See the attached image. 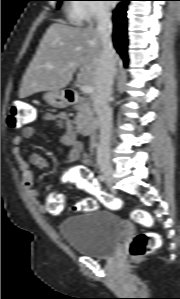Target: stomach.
<instances>
[{
	"label": "stomach",
	"instance_id": "0dacf381",
	"mask_svg": "<svg viewBox=\"0 0 180 299\" xmlns=\"http://www.w3.org/2000/svg\"><path fill=\"white\" fill-rule=\"evenodd\" d=\"M43 99L51 106L64 108L69 104L63 90L47 91L43 94Z\"/></svg>",
	"mask_w": 180,
	"mask_h": 299
}]
</instances>
